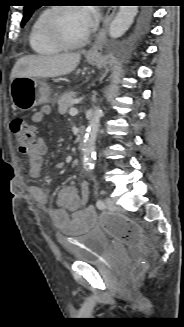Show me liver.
I'll return each mask as SVG.
<instances>
[{
  "instance_id": "1",
  "label": "liver",
  "mask_w": 184,
  "mask_h": 327,
  "mask_svg": "<svg viewBox=\"0 0 184 327\" xmlns=\"http://www.w3.org/2000/svg\"><path fill=\"white\" fill-rule=\"evenodd\" d=\"M80 53L53 56L27 55L18 59L12 69L10 80L18 76L35 78L59 77L71 73L80 62Z\"/></svg>"
}]
</instances>
